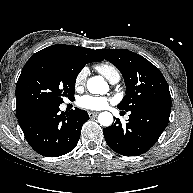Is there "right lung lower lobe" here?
Returning a JSON list of instances; mask_svg holds the SVG:
<instances>
[{
	"mask_svg": "<svg viewBox=\"0 0 193 193\" xmlns=\"http://www.w3.org/2000/svg\"><path fill=\"white\" fill-rule=\"evenodd\" d=\"M89 119L86 111L75 108L61 112L59 105L45 106L18 119L29 145L46 157L72 151L78 143L82 125Z\"/></svg>",
	"mask_w": 193,
	"mask_h": 193,
	"instance_id": "right-lung-lower-lobe-1",
	"label": "right lung lower lobe"
}]
</instances>
